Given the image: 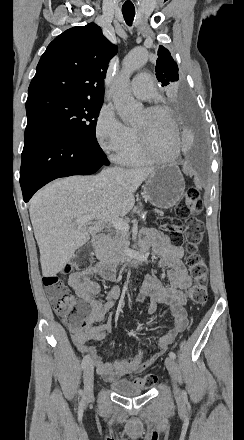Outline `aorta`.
I'll return each instance as SVG.
<instances>
[{"instance_id":"obj_1","label":"aorta","mask_w":244,"mask_h":440,"mask_svg":"<svg viewBox=\"0 0 244 440\" xmlns=\"http://www.w3.org/2000/svg\"><path fill=\"white\" fill-rule=\"evenodd\" d=\"M148 59V52L144 48H136L124 58L123 67L114 79L111 91L114 106L124 123L135 122L142 110V104L134 99L129 89L131 74L140 69Z\"/></svg>"}]
</instances>
